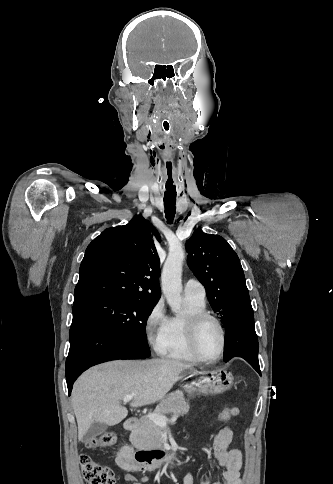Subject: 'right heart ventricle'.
I'll use <instances>...</instances> for the list:
<instances>
[{
    "instance_id": "e07e8e85",
    "label": "right heart ventricle",
    "mask_w": 333,
    "mask_h": 484,
    "mask_svg": "<svg viewBox=\"0 0 333 484\" xmlns=\"http://www.w3.org/2000/svg\"><path fill=\"white\" fill-rule=\"evenodd\" d=\"M186 313L168 317L159 353L168 359L187 363H199L192 353L187 339V322L191 315L207 312L205 301L185 297Z\"/></svg>"
}]
</instances>
